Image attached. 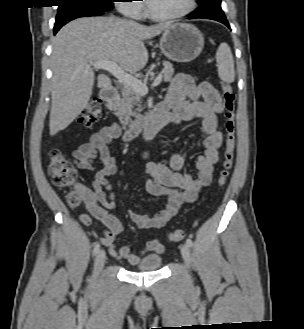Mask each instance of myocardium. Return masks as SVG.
<instances>
[{
	"label": "myocardium",
	"instance_id": "1",
	"mask_svg": "<svg viewBox=\"0 0 304 329\" xmlns=\"http://www.w3.org/2000/svg\"><path fill=\"white\" fill-rule=\"evenodd\" d=\"M195 8H196V0H189L188 6L184 10H182L178 13L157 14V13L153 12L151 7L149 6L148 0L145 1V11H146L147 16L149 18H151L153 20H157V21H173V20L181 19V18L189 15L190 13H192Z\"/></svg>",
	"mask_w": 304,
	"mask_h": 329
}]
</instances>
